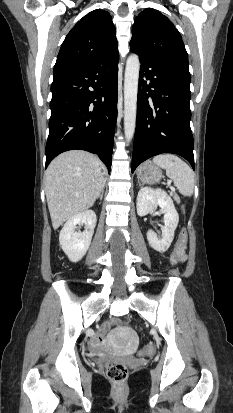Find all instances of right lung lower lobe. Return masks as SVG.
Here are the masks:
<instances>
[{
	"mask_svg": "<svg viewBox=\"0 0 233 413\" xmlns=\"http://www.w3.org/2000/svg\"><path fill=\"white\" fill-rule=\"evenodd\" d=\"M119 54L53 74L46 167L72 149L95 153L110 173Z\"/></svg>",
	"mask_w": 233,
	"mask_h": 413,
	"instance_id": "obj_1",
	"label": "right lung lower lobe"
}]
</instances>
